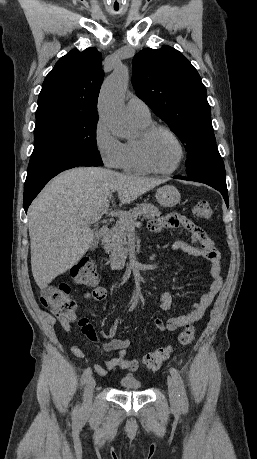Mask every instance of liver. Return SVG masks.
Returning a JSON list of instances; mask_svg holds the SVG:
<instances>
[{
  "instance_id": "6515ba94",
  "label": "liver",
  "mask_w": 257,
  "mask_h": 459,
  "mask_svg": "<svg viewBox=\"0 0 257 459\" xmlns=\"http://www.w3.org/2000/svg\"><path fill=\"white\" fill-rule=\"evenodd\" d=\"M164 182L96 167L73 168L51 180L28 209L31 267L39 288H46L88 251L96 234L87 220L113 193L129 204Z\"/></svg>"
}]
</instances>
